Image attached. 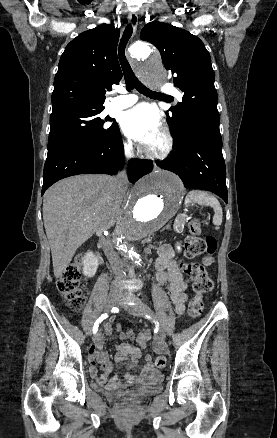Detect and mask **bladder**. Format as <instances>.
I'll use <instances>...</instances> for the list:
<instances>
[{
	"label": "bladder",
	"instance_id": "bladder-1",
	"mask_svg": "<svg viewBox=\"0 0 277 438\" xmlns=\"http://www.w3.org/2000/svg\"><path fill=\"white\" fill-rule=\"evenodd\" d=\"M156 382L158 383L159 380H156ZM151 383L153 384L154 381H152ZM150 390H151V386H147L146 388H139L134 392L118 393V395L116 396V401L117 402H127V401L133 400L135 398L147 399V397L149 396Z\"/></svg>",
	"mask_w": 277,
	"mask_h": 438
}]
</instances>
